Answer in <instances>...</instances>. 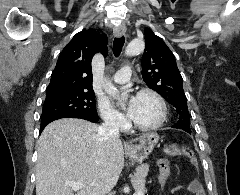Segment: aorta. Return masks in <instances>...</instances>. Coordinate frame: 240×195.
<instances>
[{
	"label": "aorta",
	"mask_w": 240,
	"mask_h": 195,
	"mask_svg": "<svg viewBox=\"0 0 240 195\" xmlns=\"http://www.w3.org/2000/svg\"><path fill=\"white\" fill-rule=\"evenodd\" d=\"M144 48L145 44L142 40H132V42L128 44L125 54L126 56H136V54H141ZM104 92H106L110 98L119 99V92L112 82H105Z\"/></svg>",
	"instance_id": "aorta-1"
}]
</instances>
